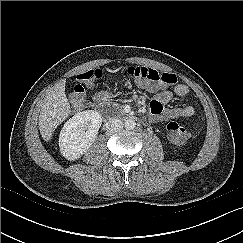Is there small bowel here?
I'll return each mask as SVG.
<instances>
[{"label": "small bowel", "instance_id": "1", "mask_svg": "<svg viewBox=\"0 0 243 243\" xmlns=\"http://www.w3.org/2000/svg\"><path fill=\"white\" fill-rule=\"evenodd\" d=\"M139 86L153 94V100L150 103V118L152 120L166 121L190 118L194 114V108L191 105L168 107V104L172 101L173 92L179 97H185L189 93V89L185 84H178L175 86L173 92L169 90H160L157 87L147 84H139ZM106 97L107 94L104 92L96 94L97 100H105Z\"/></svg>", "mask_w": 243, "mask_h": 243}]
</instances>
